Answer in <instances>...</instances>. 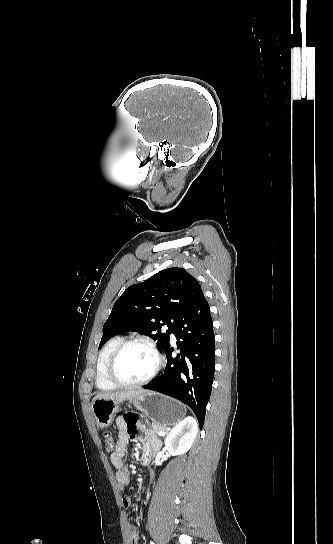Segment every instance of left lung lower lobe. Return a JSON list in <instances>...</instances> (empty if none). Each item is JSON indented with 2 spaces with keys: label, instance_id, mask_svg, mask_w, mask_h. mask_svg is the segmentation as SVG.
<instances>
[{
  "label": "left lung lower lobe",
  "instance_id": "0a47b994",
  "mask_svg": "<svg viewBox=\"0 0 333 544\" xmlns=\"http://www.w3.org/2000/svg\"><path fill=\"white\" fill-rule=\"evenodd\" d=\"M172 333L180 352L173 358V348L169 343L164 349L167 357L164 373L143 388L166 394L188 405L202 428L215 367L212 318L204 294L190 305Z\"/></svg>",
  "mask_w": 333,
  "mask_h": 544
}]
</instances>
